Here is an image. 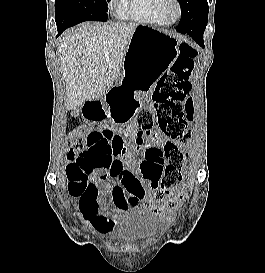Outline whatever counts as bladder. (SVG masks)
Wrapping results in <instances>:
<instances>
[{
	"label": "bladder",
	"mask_w": 265,
	"mask_h": 273,
	"mask_svg": "<svg viewBox=\"0 0 265 273\" xmlns=\"http://www.w3.org/2000/svg\"><path fill=\"white\" fill-rule=\"evenodd\" d=\"M157 225L158 218L154 213L140 206L132 207L125 212L115 233L125 241H142L155 234Z\"/></svg>",
	"instance_id": "bladder-1"
}]
</instances>
